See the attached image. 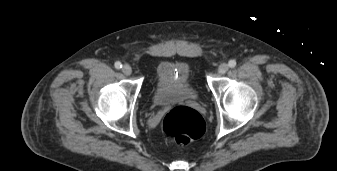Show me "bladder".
<instances>
[{
    "label": "bladder",
    "mask_w": 337,
    "mask_h": 171,
    "mask_svg": "<svg viewBox=\"0 0 337 171\" xmlns=\"http://www.w3.org/2000/svg\"><path fill=\"white\" fill-rule=\"evenodd\" d=\"M197 98L198 92L191 83L187 64L162 62L158 65L151 95L155 106H168Z\"/></svg>",
    "instance_id": "obj_1"
}]
</instances>
